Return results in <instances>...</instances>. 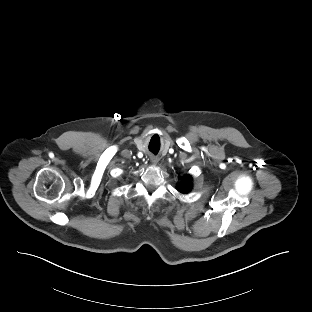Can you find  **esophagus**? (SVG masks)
Here are the masks:
<instances>
[{"label":"esophagus","instance_id":"obj_1","mask_svg":"<svg viewBox=\"0 0 312 312\" xmlns=\"http://www.w3.org/2000/svg\"><path fill=\"white\" fill-rule=\"evenodd\" d=\"M151 163H152L153 165H155V164L157 163V159H156L155 157H152V158H151Z\"/></svg>","mask_w":312,"mask_h":312}]
</instances>
